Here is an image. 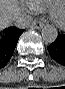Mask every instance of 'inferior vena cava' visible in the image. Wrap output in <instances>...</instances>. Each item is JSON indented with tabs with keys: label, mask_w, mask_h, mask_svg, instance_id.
Here are the masks:
<instances>
[{
	"label": "inferior vena cava",
	"mask_w": 65,
	"mask_h": 89,
	"mask_svg": "<svg viewBox=\"0 0 65 89\" xmlns=\"http://www.w3.org/2000/svg\"><path fill=\"white\" fill-rule=\"evenodd\" d=\"M32 18L28 15L22 14L16 17L15 25L18 28H26L30 25Z\"/></svg>",
	"instance_id": "1"
}]
</instances>
